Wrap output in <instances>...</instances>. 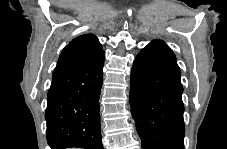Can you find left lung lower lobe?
Returning a JSON list of instances; mask_svg holds the SVG:
<instances>
[{
    "label": "left lung lower lobe",
    "instance_id": "obj_1",
    "mask_svg": "<svg viewBox=\"0 0 227 149\" xmlns=\"http://www.w3.org/2000/svg\"><path fill=\"white\" fill-rule=\"evenodd\" d=\"M181 72L172 50L153 40L135 58L130 107L142 149H184Z\"/></svg>",
    "mask_w": 227,
    "mask_h": 149
}]
</instances>
